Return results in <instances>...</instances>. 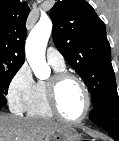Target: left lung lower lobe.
<instances>
[{
  "instance_id": "0a47b994",
  "label": "left lung lower lobe",
  "mask_w": 119,
  "mask_h": 141,
  "mask_svg": "<svg viewBox=\"0 0 119 141\" xmlns=\"http://www.w3.org/2000/svg\"><path fill=\"white\" fill-rule=\"evenodd\" d=\"M90 120L105 129L115 141H119V97L114 96L90 112Z\"/></svg>"
}]
</instances>
